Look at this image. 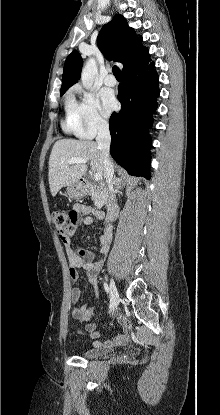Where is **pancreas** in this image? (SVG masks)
I'll use <instances>...</instances> for the list:
<instances>
[{"label":"pancreas","mask_w":220,"mask_h":415,"mask_svg":"<svg viewBox=\"0 0 220 415\" xmlns=\"http://www.w3.org/2000/svg\"><path fill=\"white\" fill-rule=\"evenodd\" d=\"M90 195L94 200V204L97 208H102L105 204H107L108 193L106 188L91 185Z\"/></svg>","instance_id":"obj_1"}]
</instances>
